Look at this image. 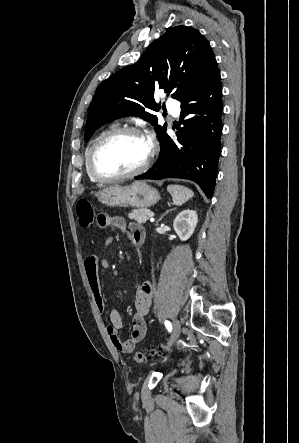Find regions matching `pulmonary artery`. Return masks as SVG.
I'll use <instances>...</instances> for the list:
<instances>
[{"label":"pulmonary artery","mask_w":299,"mask_h":443,"mask_svg":"<svg viewBox=\"0 0 299 443\" xmlns=\"http://www.w3.org/2000/svg\"><path fill=\"white\" fill-rule=\"evenodd\" d=\"M167 109H168V111L170 112V114L172 116H174V117L179 116L180 106H179V104H178L176 99L169 98L167 100Z\"/></svg>","instance_id":"pulmonary-artery-1"}]
</instances>
